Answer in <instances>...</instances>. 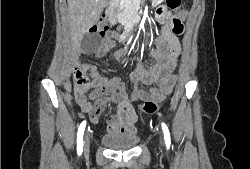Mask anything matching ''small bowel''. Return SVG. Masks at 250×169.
Listing matches in <instances>:
<instances>
[{
	"label": "small bowel",
	"instance_id": "small-bowel-1",
	"mask_svg": "<svg viewBox=\"0 0 250 169\" xmlns=\"http://www.w3.org/2000/svg\"><path fill=\"white\" fill-rule=\"evenodd\" d=\"M162 21L169 22L164 26L162 38L157 41V45L150 52L152 63L145 68L140 63L136 65L134 72L130 75L132 83V94L120 77L111 79L103 76L95 65L89 63H79L80 68L89 75L90 83L83 89L75 91V100L81 109L88 113L93 121H97L99 115L104 111L109 101L118 105V110L108 120V131L115 135H132L135 133V125L138 117L132 102H144V98L150 95H157L158 91H165L166 95L172 92L175 81V68L180 54V43L171 32L174 21L185 17L183 11L175 16L163 12ZM115 43L112 37H107L101 41L99 46L92 52L96 57L103 58L106 53L114 48ZM116 57L120 53L115 54ZM156 84V87L149 91L140 89V84Z\"/></svg>",
	"mask_w": 250,
	"mask_h": 169
}]
</instances>
